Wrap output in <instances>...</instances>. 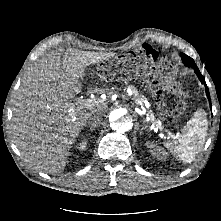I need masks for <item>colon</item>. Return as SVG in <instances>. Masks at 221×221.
Here are the masks:
<instances>
[{"label":"colon","instance_id":"1","mask_svg":"<svg viewBox=\"0 0 221 221\" xmlns=\"http://www.w3.org/2000/svg\"><path fill=\"white\" fill-rule=\"evenodd\" d=\"M136 56L142 60V64L139 67V70L141 72H150L153 69L158 70H165L166 65L162 64L158 66L157 68V61L154 57V50L152 48H148L146 51H138ZM135 67L133 66H125L122 65V67H118V65L115 62H109L101 64L97 69V74L106 80L116 79L121 76H124L126 74L132 75L135 72ZM179 108L184 107V103L180 101L178 103Z\"/></svg>","mask_w":221,"mask_h":221}]
</instances>
